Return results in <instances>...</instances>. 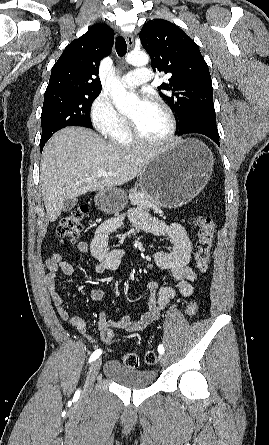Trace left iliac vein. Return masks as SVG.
I'll return each instance as SVG.
<instances>
[{"instance_id":"4c4485c4","label":"left iliac vein","mask_w":269,"mask_h":445,"mask_svg":"<svg viewBox=\"0 0 269 445\" xmlns=\"http://www.w3.org/2000/svg\"><path fill=\"white\" fill-rule=\"evenodd\" d=\"M159 361H160L161 366H163V367L167 366V364H168V359L163 354L160 355Z\"/></svg>"}]
</instances>
